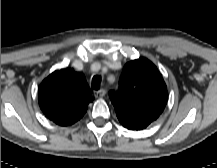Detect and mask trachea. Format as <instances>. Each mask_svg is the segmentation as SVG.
Returning <instances> with one entry per match:
<instances>
[{
  "mask_svg": "<svg viewBox=\"0 0 217 168\" xmlns=\"http://www.w3.org/2000/svg\"><path fill=\"white\" fill-rule=\"evenodd\" d=\"M100 83H101V77L99 75H95L92 78V85H91L92 89L98 90L100 87Z\"/></svg>",
  "mask_w": 217,
  "mask_h": 168,
  "instance_id": "trachea-1",
  "label": "trachea"
}]
</instances>
